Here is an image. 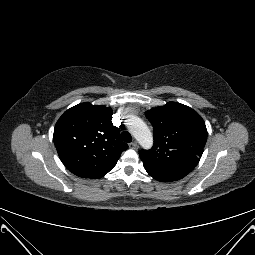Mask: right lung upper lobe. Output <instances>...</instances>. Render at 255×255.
I'll return each mask as SVG.
<instances>
[{
	"label": "right lung upper lobe",
	"instance_id": "cb5924a9",
	"mask_svg": "<svg viewBox=\"0 0 255 255\" xmlns=\"http://www.w3.org/2000/svg\"><path fill=\"white\" fill-rule=\"evenodd\" d=\"M112 110L81 103L57 121L53 140L62 163L73 174L98 179L108 173L128 146L113 126Z\"/></svg>",
	"mask_w": 255,
	"mask_h": 255
}]
</instances>
